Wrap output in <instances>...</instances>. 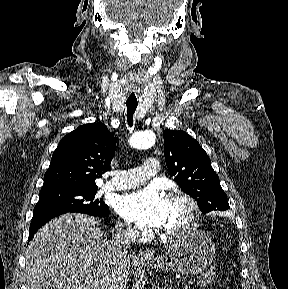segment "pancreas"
I'll return each instance as SVG.
<instances>
[{
	"label": "pancreas",
	"mask_w": 288,
	"mask_h": 289,
	"mask_svg": "<svg viewBox=\"0 0 288 289\" xmlns=\"http://www.w3.org/2000/svg\"><path fill=\"white\" fill-rule=\"evenodd\" d=\"M213 280H214V268H210L201 275L198 285L200 287H206Z\"/></svg>",
	"instance_id": "cf45deb5"
}]
</instances>
